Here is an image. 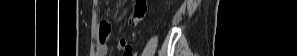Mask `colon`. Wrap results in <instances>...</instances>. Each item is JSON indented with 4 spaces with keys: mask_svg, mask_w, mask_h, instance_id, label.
I'll return each instance as SVG.
<instances>
[{
    "mask_svg": "<svg viewBox=\"0 0 297 56\" xmlns=\"http://www.w3.org/2000/svg\"><path fill=\"white\" fill-rule=\"evenodd\" d=\"M147 12V1L136 0L135 3V15L133 18L134 23H139L143 20ZM111 25L107 21H103L100 25V40L104 42L110 35Z\"/></svg>",
    "mask_w": 297,
    "mask_h": 56,
    "instance_id": "colon-1",
    "label": "colon"
}]
</instances>
